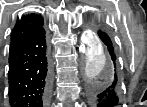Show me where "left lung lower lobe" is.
Masks as SVG:
<instances>
[{
    "label": "left lung lower lobe",
    "instance_id": "0a47b994",
    "mask_svg": "<svg viewBox=\"0 0 147 107\" xmlns=\"http://www.w3.org/2000/svg\"><path fill=\"white\" fill-rule=\"evenodd\" d=\"M105 44L109 57L114 65L113 74L108 80L90 82L87 96L91 107H119V77L117 73V54L115 47L107 33L98 32Z\"/></svg>",
    "mask_w": 147,
    "mask_h": 107
}]
</instances>
